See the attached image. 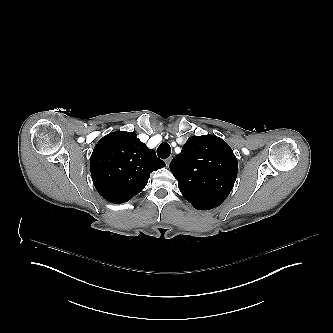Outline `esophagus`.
<instances>
[{"mask_svg":"<svg viewBox=\"0 0 333 333\" xmlns=\"http://www.w3.org/2000/svg\"><path fill=\"white\" fill-rule=\"evenodd\" d=\"M170 161H171V158L166 159L165 162H166V165H167V166L169 165Z\"/></svg>","mask_w":333,"mask_h":333,"instance_id":"34e87169","label":"esophagus"}]
</instances>
